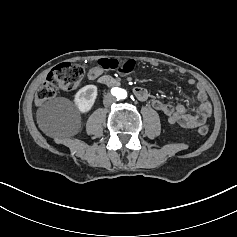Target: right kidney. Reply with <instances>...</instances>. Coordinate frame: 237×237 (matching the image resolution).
<instances>
[{
    "label": "right kidney",
    "instance_id": "ca27d5eb",
    "mask_svg": "<svg viewBox=\"0 0 237 237\" xmlns=\"http://www.w3.org/2000/svg\"><path fill=\"white\" fill-rule=\"evenodd\" d=\"M98 96V87L90 84L80 88L74 96L73 103L77 107L79 114L89 113Z\"/></svg>",
    "mask_w": 237,
    "mask_h": 237
}]
</instances>
